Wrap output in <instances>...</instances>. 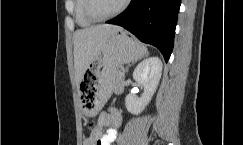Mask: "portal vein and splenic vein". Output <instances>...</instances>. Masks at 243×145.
<instances>
[{"instance_id": "1", "label": "portal vein and splenic vein", "mask_w": 243, "mask_h": 145, "mask_svg": "<svg viewBox=\"0 0 243 145\" xmlns=\"http://www.w3.org/2000/svg\"><path fill=\"white\" fill-rule=\"evenodd\" d=\"M121 76H124V73H121Z\"/></svg>"}]
</instances>
